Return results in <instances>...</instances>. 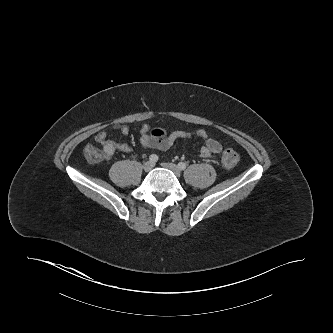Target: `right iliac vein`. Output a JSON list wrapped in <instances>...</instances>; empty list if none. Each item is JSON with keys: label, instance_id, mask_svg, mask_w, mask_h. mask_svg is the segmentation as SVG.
I'll return each instance as SVG.
<instances>
[{"label": "right iliac vein", "instance_id": "right-iliac-vein-1", "mask_svg": "<svg viewBox=\"0 0 333 333\" xmlns=\"http://www.w3.org/2000/svg\"><path fill=\"white\" fill-rule=\"evenodd\" d=\"M154 167V163L147 161L143 164V170L145 172H149L150 170H152V168Z\"/></svg>", "mask_w": 333, "mask_h": 333}]
</instances>
